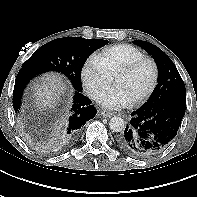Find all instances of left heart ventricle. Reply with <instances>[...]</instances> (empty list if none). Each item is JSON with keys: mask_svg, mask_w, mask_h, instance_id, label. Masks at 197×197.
<instances>
[{"mask_svg": "<svg viewBox=\"0 0 197 197\" xmlns=\"http://www.w3.org/2000/svg\"><path fill=\"white\" fill-rule=\"evenodd\" d=\"M152 75V67L150 64L145 63L129 76L114 78L113 83L115 86L122 88L133 101L147 90L151 83Z\"/></svg>", "mask_w": 197, "mask_h": 197, "instance_id": "b2bd125f", "label": "left heart ventricle"}]
</instances>
